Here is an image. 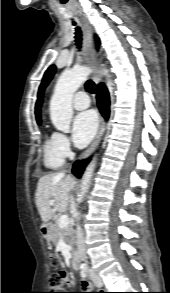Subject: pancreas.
<instances>
[{"label": "pancreas", "mask_w": 170, "mask_h": 293, "mask_svg": "<svg viewBox=\"0 0 170 293\" xmlns=\"http://www.w3.org/2000/svg\"><path fill=\"white\" fill-rule=\"evenodd\" d=\"M58 222L59 219H56L51 225V240L57 243L59 235H62L67 244L73 245L75 243L73 224L69 223L66 227L60 228Z\"/></svg>", "instance_id": "cf45deb5"}]
</instances>
